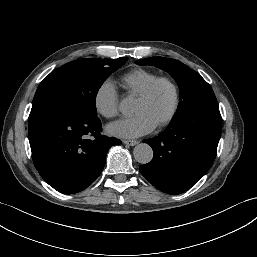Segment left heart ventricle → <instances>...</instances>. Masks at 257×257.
Returning <instances> with one entry per match:
<instances>
[{"label":"left heart ventricle","instance_id":"left-heart-ventricle-1","mask_svg":"<svg viewBox=\"0 0 257 257\" xmlns=\"http://www.w3.org/2000/svg\"><path fill=\"white\" fill-rule=\"evenodd\" d=\"M173 100L171 87L163 83L147 100L136 99L133 112L146 114L157 125L170 113Z\"/></svg>","mask_w":257,"mask_h":257}]
</instances>
